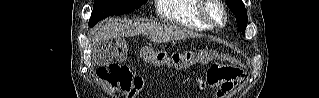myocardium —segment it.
Listing matches in <instances>:
<instances>
[{"mask_svg": "<svg viewBox=\"0 0 319 98\" xmlns=\"http://www.w3.org/2000/svg\"><path fill=\"white\" fill-rule=\"evenodd\" d=\"M212 7H216L220 10L222 14V19L220 21H216L212 18L210 14V10ZM200 16L203 21L210 27L216 28L221 27L226 23L227 20V12L220 0H203L200 4Z\"/></svg>", "mask_w": 319, "mask_h": 98, "instance_id": "myocardium-1", "label": "myocardium"}]
</instances>
